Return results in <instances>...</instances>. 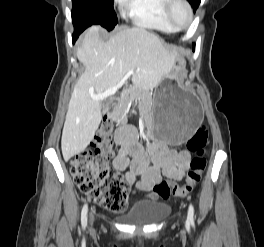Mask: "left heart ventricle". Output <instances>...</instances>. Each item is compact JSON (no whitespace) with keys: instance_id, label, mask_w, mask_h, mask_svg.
<instances>
[{"instance_id":"left-heart-ventricle-1","label":"left heart ventricle","mask_w":264,"mask_h":247,"mask_svg":"<svg viewBox=\"0 0 264 247\" xmlns=\"http://www.w3.org/2000/svg\"><path fill=\"white\" fill-rule=\"evenodd\" d=\"M175 17L179 24L186 25L189 21V15L186 8L182 5L177 6L175 11Z\"/></svg>"}]
</instances>
